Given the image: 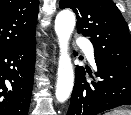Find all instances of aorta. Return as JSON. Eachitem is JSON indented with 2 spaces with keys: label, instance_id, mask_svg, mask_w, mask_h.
I'll list each match as a JSON object with an SVG mask.
<instances>
[{
  "label": "aorta",
  "instance_id": "762f6f07",
  "mask_svg": "<svg viewBox=\"0 0 131 115\" xmlns=\"http://www.w3.org/2000/svg\"><path fill=\"white\" fill-rule=\"evenodd\" d=\"M75 27V15L69 10H62L55 19V32L60 47L59 65L57 71L56 99L65 102L73 89L74 71L68 52L70 36Z\"/></svg>",
  "mask_w": 131,
  "mask_h": 115
}]
</instances>
